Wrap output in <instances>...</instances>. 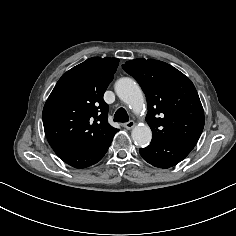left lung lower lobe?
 <instances>
[{
	"instance_id": "0a47b994",
	"label": "left lung lower lobe",
	"mask_w": 236,
	"mask_h": 236,
	"mask_svg": "<svg viewBox=\"0 0 236 236\" xmlns=\"http://www.w3.org/2000/svg\"><path fill=\"white\" fill-rule=\"evenodd\" d=\"M197 141L162 140L151 141L146 148L139 150L145 161L159 168H169L181 162L194 148Z\"/></svg>"
}]
</instances>
